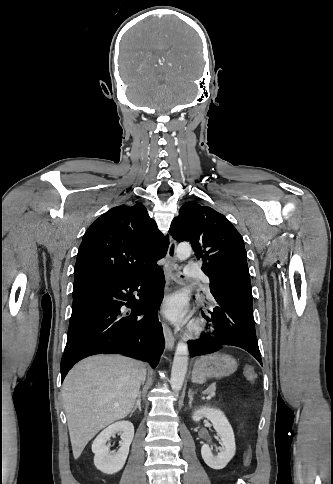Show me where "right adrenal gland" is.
Here are the masks:
<instances>
[{
	"label": "right adrenal gland",
	"instance_id": "obj_1",
	"mask_svg": "<svg viewBox=\"0 0 333 484\" xmlns=\"http://www.w3.org/2000/svg\"><path fill=\"white\" fill-rule=\"evenodd\" d=\"M137 408L139 409L140 412L142 411V409H141V391L138 393L137 401H136V403H135V405H134V407H133V409L130 413V417L133 415V413L136 411Z\"/></svg>",
	"mask_w": 333,
	"mask_h": 484
}]
</instances>
